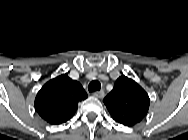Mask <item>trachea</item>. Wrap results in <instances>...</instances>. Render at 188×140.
I'll use <instances>...</instances> for the list:
<instances>
[{"instance_id": "3493384b", "label": "trachea", "mask_w": 188, "mask_h": 140, "mask_svg": "<svg viewBox=\"0 0 188 140\" xmlns=\"http://www.w3.org/2000/svg\"><path fill=\"white\" fill-rule=\"evenodd\" d=\"M100 88H101V84L97 80L90 82V84L88 85L89 92L99 91Z\"/></svg>"}]
</instances>
